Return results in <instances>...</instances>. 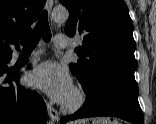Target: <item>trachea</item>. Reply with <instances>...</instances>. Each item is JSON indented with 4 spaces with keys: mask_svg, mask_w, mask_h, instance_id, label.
I'll return each instance as SVG.
<instances>
[{
    "mask_svg": "<svg viewBox=\"0 0 156 124\" xmlns=\"http://www.w3.org/2000/svg\"><path fill=\"white\" fill-rule=\"evenodd\" d=\"M40 38H43L45 42H49L51 40V31L48 23L47 11H43L39 21L30 35L20 41L23 45V50H33L38 44Z\"/></svg>",
    "mask_w": 156,
    "mask_h": 124,
    "instance_id": "obj_1",
    "label": "trachea"
}]
</instances>
